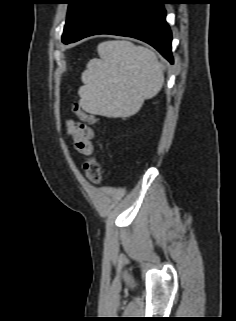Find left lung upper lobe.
Here are the masks:
<instances>
[{
    "label": "left lung upper lobe",
    "mask_w": 236,
    "mask_h": 321,
    "mask_svg": "<svg viewBox=\"0 0 236 321\" xmlns=\"http://www.w3.org/2000/svg\"><path fill=\"white\" fill-rule=\"evenodd\" d=\"M97 0H68L67 20L62 35V42L66 43L79 31L85 18Z\"/></svg>",
    "instance_id": "left-lung-upper-lobe-1"
}]
</instances>
